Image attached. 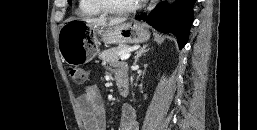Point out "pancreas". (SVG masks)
<instances>
[{"label":"pancreas","instance_id":"1","mask_svg":"<svg viewBox=\"0 0 257 130\" xmlns=\"http://www.w3.org/2000/svg\"><path fill=\"white\" fill-rule=\"evenodd\" d=\"M129 47L124 46H118L111 49L104 50L100 55L99 58L103 60L105 63H109L111 65H114L118 62L120 53L123 51H126Z\"/></svg>","mask_w":257,"mask_h":130}]
</instances>
